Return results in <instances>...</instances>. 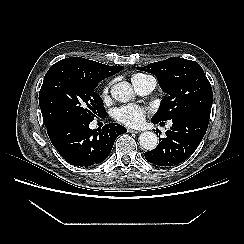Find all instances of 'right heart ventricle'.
Returning <instances> with one entry per match:
<instances>
[{
  "mask_svg": "<svg viewBox=\"0 0 244 244\" xmlns=\"http://www.w3.org/2000/svg\"><path fill=\"white\" fill-rule=\"evenodd\" d=\"M145 75L144 74H141V73H137V74H134L132 77H131V80H132V83L135 84L136 82H138L142 77H144Z\"/></svg>",
  "mask_w": 244,
  "mask_h": 244,
  "instance_id": "1",
  "label": "right heart ventricle"
}]
</instances>
